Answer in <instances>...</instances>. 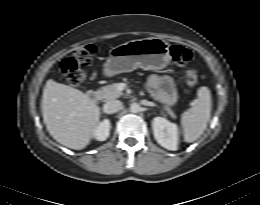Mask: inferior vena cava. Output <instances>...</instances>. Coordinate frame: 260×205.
<instances>
[{
	"mask_svg": "<svg viewBox=\"0 0 260 205\" xmlns=\"http://www.w3.org/2000/svg\"><path fill=\"white\" fill-rule=\"evenodd\" d=\"M122 107V102L119 100H111L104 104V112L107 114L116 113Z\"/></svg>",
	"mask_w": 260,
	"mask_h": 205,
	"instance_id": "602c4592",
	"label": "inferior vena cava"
}]
</instances>
